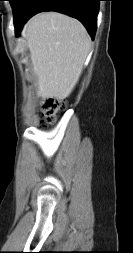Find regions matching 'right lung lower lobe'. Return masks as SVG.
<instances>
[{
  "label": "right lung lower lobe",
  "instance_id": "right-lung-lower-lobe-1",
  "mask_svg": "<svg viewBox=\"0 0 133 253\" xmlns=\"http://www.w3.org/2000/svg\"><path fill=\"white\" fill-rule=\"evenodd\" d=\"M101 0H26L21 8L19 18L14 23L18 35L33 15L43 11H56L78 19L92 37L95 36L97 15Z\"/></svg>",
  "mask_w": 133,
  "mask_h": 253
}]
</instances>
